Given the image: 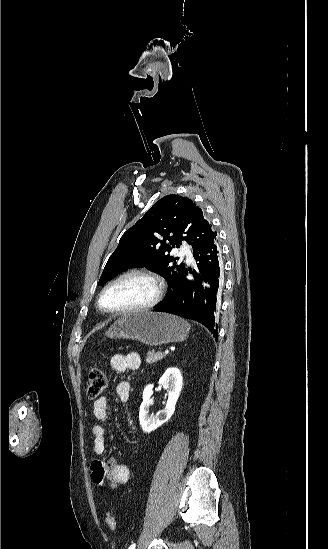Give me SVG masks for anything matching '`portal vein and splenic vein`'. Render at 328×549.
I'll return each mask as SVG.
<instances>
[{"instance_id": "1", "label": "portal vein and splenic vein", "mask_w": 328, "mask_h": 549, "mask_svg": "<svg viewBox=\"0 0 328 549\" xmlns=\"http://www.w3.org/2000/svg\"><path fill=\"white\" fill-rule=\"evenodd\" d=\"M165 353H169V351H168V350H165Z\"/></svg>"}]
</instances>
